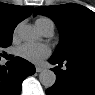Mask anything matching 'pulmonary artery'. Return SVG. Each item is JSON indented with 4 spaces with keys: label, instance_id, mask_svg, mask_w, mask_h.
I'll use <instances>...</instances> for the list:
<instances>
[{
    "label": "pulmonary artery",
    "instance_id": "e3ab8cb5",
    "mask_svg": "<svg viewBox=\"0 0 95 95\" xmlns=\"http://www.w3.org/2000/svg\"><path fill=\"white\" fill-rule=\"evenodd\" d=\"M53 27H46L41 32L44 36H51L53 34Z\"/></svg>",
    "mask_w": 95,
    "mask_h": 95
}]
</instances>
